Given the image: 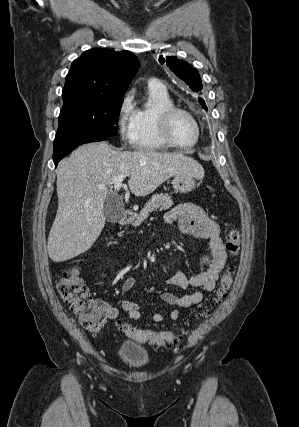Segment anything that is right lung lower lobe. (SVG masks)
I'll use <instances>...</instances> for the list:
<instances>
[{
	"label": "right lung lower lobe",
	"mask_w": 299,
	"mask_h": 427,
	"mask_svg": "<svg viewBox=\"0 0 299 427\" xmlns=\"http://www.w3.org/2000/svg\"><path fill=\"white\" fill-rule=\"evenodd\" d=\"M103 140H106V138H81V139H76L71 142L64 143L57 147H54L53 161L55 166H57L58 162L61 159H63L65 156H67L76 147L85 143L97 142V141H103Z\"/></svg>",
	"instance_id": "right-lung-lower-lobe-1"
}]
</instances>
